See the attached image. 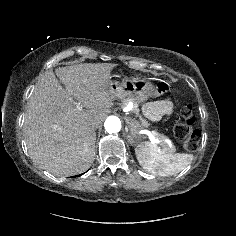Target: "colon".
<instances>
[{
    "label": "colon",
    "instance_id": "colon-1",
    "mask_svg": "<svg viewBox=\"0 0 236 236\" xmlns=\"http://www.w3.org/2000/svg\"><path fill=\"white\" fill-rule=\"evenodd\" d=\"M181 121L174 127L177 139L183 142L185 149L189 152L196 151L201 141V131L196 128L197 115L191 105L183 106L181 110Z\"/></svg>",
    "mask_w": 236,
    "mask_h": 236
}]
</instances>
